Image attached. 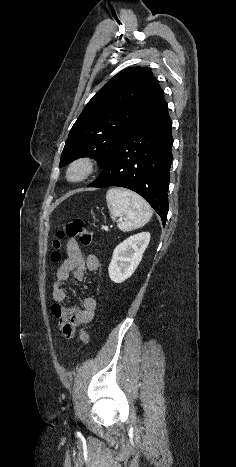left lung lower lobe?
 Segmentation results:
<instances>
[{"instance_id":"1","label":"left lung lower lobe","mask_w":236,"mask_h":467,"mask_svg":"<svg viewBox=\"0 0 236 467\" xmlns=\"http://www.w3.org/2000/svg\"><path fill=\"white\" fill-rule=\"evenodd\" d=\"M172 143V121L163 99L124 134L99 177L88 187L131 189L153 207L165 225Z\"/></svg>"}]
</instances>
